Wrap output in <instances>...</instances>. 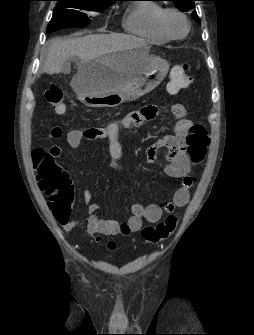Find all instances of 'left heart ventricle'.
I'll return each instance as SVG.
<instances>
[{
  "mask_svg": "<svg viewBox=\"0 0 254 335\" xmlns=\"http://www.w3.org/2000/svg\"><path fill=\"white\" fill-rule=\"evenodd\" d=\"M166 30L173 36H180L186 30L184 20L176 14H167L164 18Z\"/></svg>",
  "mask_w": 254,
  "mask_h": 335,
  "instance_id": "1",
  "label": "left heart ventricle"
}]
</instances>
